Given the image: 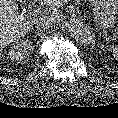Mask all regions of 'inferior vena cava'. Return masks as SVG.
I'll use <instances>...</instances> for the list:
<instances>
[{
	"instance_id": "602c4592",
	"label": "inferior vena cava",
	"mask_w": 118,
	"mask_h": 118,
	"mask_svg": "<svg viewBox=\"0 0 118 118\" xmlns=\"http://www.w3.org/2000/svg\"><path fill=\"white\" fill-rule=\"evenodd\" d=\"M56 21L57 19L54 17L42 15L35 21V24L38 31L44 32L51 28L56 23Z\"/></svg>"
}]
</instances>
